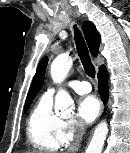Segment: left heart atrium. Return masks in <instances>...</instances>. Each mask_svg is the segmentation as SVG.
Here are the masks:
<instances>
[{"label": "left heart atrium", "instance_id": "39dd6f15", "mask_svg": "<svg viewBox=\"0 0 130 153\" xmlns=\"http://www.w3.org/2000/svg\"><path fill=\"white\" fill-rule=\"evenodd\" d=\"M78 115L85 122H92L100 112V103L93 95H86L78 101Z\"/></svg>", "mask_w": 130, "mask_h": 153}]
</instances>
